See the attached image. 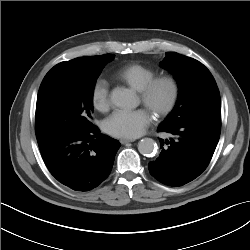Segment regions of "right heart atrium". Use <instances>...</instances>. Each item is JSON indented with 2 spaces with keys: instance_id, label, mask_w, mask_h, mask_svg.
<instances>
[{
  "instance_id": "obj_1",
  "label": "right heart atrium",
  "mask_w": 250,
  "mask_h": 250,
  "mask_svg": "<svg viewBox=\"0 0 250 250\" xmlns=\"http://www.w3.org/2000/svg\"><path fill=\"white\" fill-rule=\"evenodd\" d=\"M91 102L95 109L107 111L111 106L109 83L106 79L97 78L91 88Z\"/></svg>"
}]
</instances>
